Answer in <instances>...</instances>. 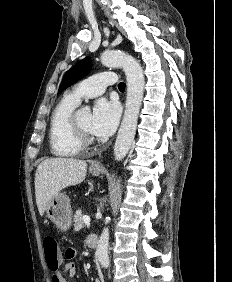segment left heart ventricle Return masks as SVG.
I'll use <instances>...</instances> for the list:
<instances>
[{"label": "left heart ventricle", "instance_id": "1", "mask_svg": "<svg viewBox=\"0 0 232 282\" xmlns=\"http://www.w3.org/2000/svg\"><path fill=\"white\" fill-rule=\"evenodd\" d=\"M78 121L81 127L91 134L90 131V121H91V113L86 110H80L78 113Z\"/></svg>", "mask_w": 232, "mask_h": 282}]
</instances>
